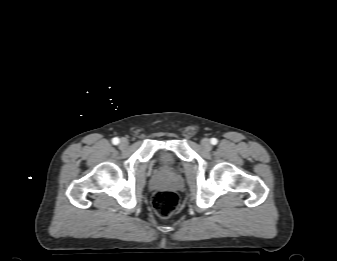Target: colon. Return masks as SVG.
<instances>
[{
    "label": "colon",
    "instance_id": "1",
    "mask_svg": "<svg viewBox=\"0 0 337 261\" xmlns=\"http://www.w3.org/2000/svg\"><path fill=\"white\" fill-rule=\"evenodd\" d=\"M179 205V196L172 190L157 191L152 198V206L155 213L160 217H169Z\"/></svg>",
    "mask_w": 337,
    "mask_h": 261
}]
</instances>
